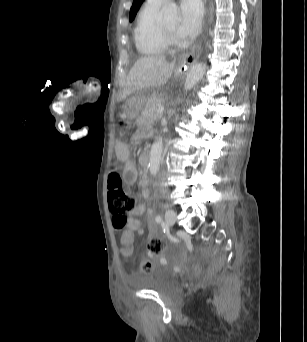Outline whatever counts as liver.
<instances>
[{
    "mask_svg": "<svg viewBox=\"0 0 307 342\" xmlns=\"http://www.w3.org/2000/svg\"><path fill=\"white\" fill-rule=\"evenodd\" d=\"M176 60L167 62L166 56H145L133 64L120 98L125 100L130 94L142 88H159L168 82L174 70Z\"/></svg>",
    "mask_w": 307,
    "mask_h": 342,
    "instance_id": "liver-1",
    "label": "liver"
}]
</instances>
